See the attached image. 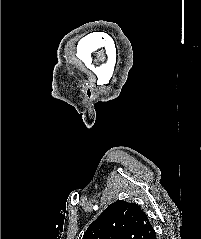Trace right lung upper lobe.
<instances>
[{
	"instance_id": "cb5924a9",
	"label": "right lung upper lobe",
	"mask_w": 201,
	"mask_h": 239,
	"mask_svg": "<svg viewBox=\"0 0 201 239\" xmlns=\"http://www.w3.org/2000/svg\"><path fill=\"white\" fill-rule=\"evenodd\" d=\"M82 239H156V233L138 204L118 200L91 223Z\"/></svg>"
}]
</instances>
